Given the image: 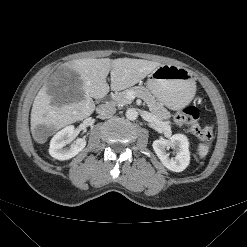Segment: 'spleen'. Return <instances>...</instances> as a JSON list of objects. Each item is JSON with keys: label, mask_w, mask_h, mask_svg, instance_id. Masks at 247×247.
Masks as SVG:
<instances>
[{"label": "spleen", "mask_w": 247, "mask_h": 247, "mask_svg": "<svg viewBox=\"0 0 247 247\" xmlns=\"http://www.w3.org/2000/svg\"><path fill=\"white\" fill-rule=\"evenodd\" d=\"M209 151V145L208 144H205V143H200L198 145V154L200 156V158H203L207 155Z\"/></svg>", "instance_id": "3e777b00"}]
</instances>
